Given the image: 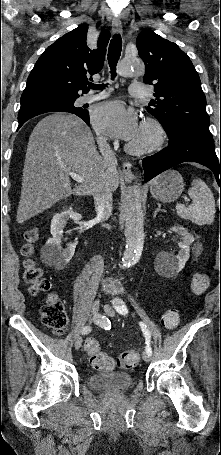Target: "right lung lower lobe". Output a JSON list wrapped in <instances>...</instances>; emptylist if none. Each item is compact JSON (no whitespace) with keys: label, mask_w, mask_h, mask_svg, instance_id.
<instances>
[{"label":"right lung lower lobe","mask_w":221,"mask_h":455,"mask_svg":"<svg viewBox=\"0 0 221 455\" xmlns=\"http://www.w3.org/2000/svg\"><path fill=\"white\" fill-rule=\"evenodd\" d=\"M55 111H62V112H69V113L76 114L73 111H70V110H67V109H62V108H41V109L31 110V111H28V112H25V113H22V114L18 115V121H19L18 129L27 120H29V119L37 116V115H40V114H43V113H47V112H55ZM76 115L79 116L81 119H83L87 123V125H89V114H88L87 110H85V112L83 114H76Z\"/></svg>","instance_id":"obj_1"}]
</instances>
